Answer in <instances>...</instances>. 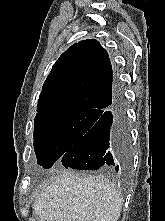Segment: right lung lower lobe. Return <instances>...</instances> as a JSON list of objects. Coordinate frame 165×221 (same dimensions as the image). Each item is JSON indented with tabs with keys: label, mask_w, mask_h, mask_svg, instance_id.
<instances>
[{
	"label": "right lung lower lobe",
	"mask_w": 165,
	"mask_h": 221,
	"mask_svg": "<svg viewBox=\"0 0 165 221\" xmlns=\"http://www.w3.org/2000/svg\"><path fill=\"white\" fill-rule=\"evenodd\" d=\"M129 158L125 100L116 83L110 104L99 111L92 127L61 157L65 168L124 171Z\"/></svg>",
	"instance_id": "98d812e1"
}]
</instances>
